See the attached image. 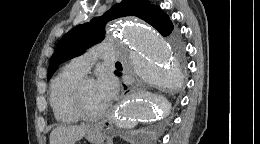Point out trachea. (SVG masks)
<instances>
[{
	"mask_svg": "<svg viewBox=\"0 0 260 144\" xmlns=\"http://www.w3.org/2000/svg\"><path fill=\"white\" fill-rule=\"evenodd\" d=\"M116 64H119V65H120L121 63H120V62H116Z\"/></svg>",
	"mask_w": 260,
	"mask_h": 144,
	"instance_id": "trachea-1",
	"label": "trachea"
}]
</instances>
